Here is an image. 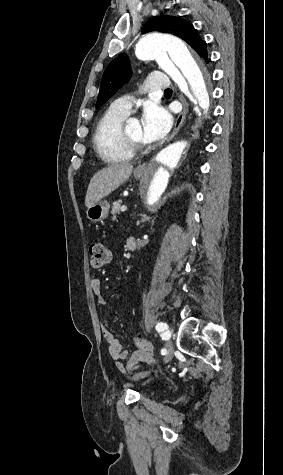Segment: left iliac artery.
Wrapping results in <instances>:
<instances>
[{
  "instance_id": "left-iliac-artery-1",
  "label": "left iliac artery",
  "mask_w": 283,
  "mask_h": 475,
  "mask_svg": "<svg viewBox=\"0 0 283 475\" xmlns=\"http://www.w3.org/2000/svg\"><path fill=\"white\" fill-rule=\"evenodd\" d=\"M167 328H168V325H167L166 323H162V322H161V323H158V324L156 325V330H157L158 332L167 330ZM164 337H165V336H164ZM165 338H166V337H165Z\"/></svg>"
}]
</instances>
